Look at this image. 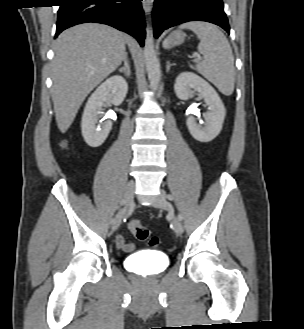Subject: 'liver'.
<instances>
[{
  "instance_id": "6515ba94",
  "label": "liver",
  "mask_w": 304,
  "mask_h": 329,
  "mask_svg": "<svg viewBox=\"0 0 304 329\" xmlns=\"http://www.w3.org/2000/svg\"><path fill=\"white\" fill-rule=\"evenodd\" d=\"M129 38L107 25L85 23L63 31L54 44L52 100L65 133L87 95L124 60Z\"/></svg>"
}]
</instances>
